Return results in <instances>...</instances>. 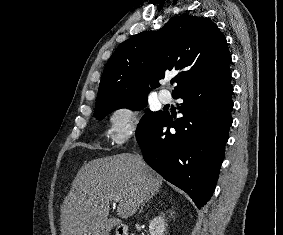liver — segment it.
<instances>
[{
  "mask_svg": "<svg viewBox=\"0 0 283 235\" xmlns=\"http://www.w3.org/2000/svg\"><path fill=\"white\" fill-rule=\"evenodd\" d=\"M163 179L140 156L123 153L89 161L78 172L61 207V235H108L109 202L118 196L117 214L133 216Z\"/></svg>",
  "mask_w": 283,
  "mask_h": 235,
  "instance_id": "6515ba94",
  "label": "liver"
}]
</instances>
